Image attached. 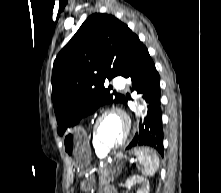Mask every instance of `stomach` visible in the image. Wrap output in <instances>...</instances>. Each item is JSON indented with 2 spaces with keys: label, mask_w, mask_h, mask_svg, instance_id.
I'll return each mask as SVG.
<instances>
[{
  "label": "stomach",
  "mask_w": 221,
  "mask_h": 193,
  "mask_svg": "<svg viewBox=\"0 0 221 193\" xmlns=\"http://www.w3.org/2000/svg\"><path fill=\"white\" fill-rule=\"evenodd\" d=\"M64 142V155L68 159H75V167H91V154L88 150V137L79 125H70L67 133H60ZM86 182L100 179V174H85Z\"/></svg>",
  "instance_id": "0dacf381"
}]
</instances>
